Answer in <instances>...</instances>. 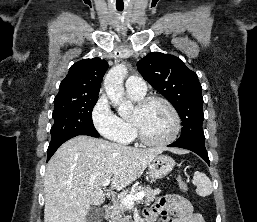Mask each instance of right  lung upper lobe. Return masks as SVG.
I'll list each match as a JSON object with an SVG mask.
<instances>
[{
    "instance_id": "cb5924a9",
    "label": "right lung upper lobe",
    "mask_w": 257,
    "mask_h": 222,
    "mask_svg": "<svg viewBox=\"0 0 257 222\" xmlns=\"http://www.w3.org/2000/svg\"><path fill=\"white\" fill-rule=\"evenodd\" d=\"M107 68V61L100 58L84 59L74 63L61 82L54 102L98 95Z\"/></svg>"
}]
</instances>
